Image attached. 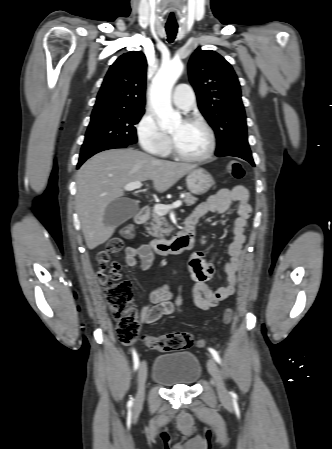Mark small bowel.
I'll return each mask as SVG.
<instances>
[{
	"mask_svg": "<svg viewBox=\"0 0 332 449\" xmlns=\"http://www.w3.org/2000/svg\"><path fill=\"white\" fill-rule=\"evenodd\" d=\"M248 200L249 193L243 186L221 189L208 200L200 203L189 217L196 225L199 219L208 213L222 214L232 204L237 205L238 215L233 226V241L229 247L231 259L225 267L226 282L217 289L211 288L208 281L214 272L213 265L207 261L204 253L201 252L194 253L190 258L191 298L193 306L198 309L208 310L220 301L232 296L235 292L237 272L243 264L242 248L246 240L245 232L252 211ZM199 241L201 244L205 243L204 238ZM125 254L126 265L131 269L137 266L138 260L141 269L144 271H149L154 266L155 254L147 244H141L138 247L128 246L125 249ZM181 303L180 297L172 300V294L166 285L157 286L150 292L147 304L142 307L140 320L143 324H151L161 317L179 310Z\"/></svg>",
	"mask_w": 332,
	"mask_h": 449,
	"instance_id": "c3829d8e",
	"label": "small bowel"
}]
</instances>
